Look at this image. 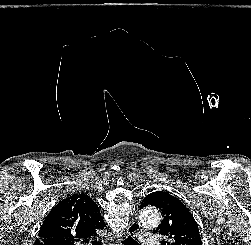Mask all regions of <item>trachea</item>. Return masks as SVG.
Returning a JSON list of instances; mask_svg holds the SVG:
<instances>
[{"label":"trachea","instance_id":"1","mask_svg":"<svg viewBox=\"0 0 251 245\" xmlns=\"http://www.w3.org/2000/svg\"><path fill=\"white\" fill-rule=\"evenodd\" d=\"M123 245H139L132 237L128 236L125 240L122 241ZM92 245H102L100 241H93Z\"/></svg>","mask_w":251,"mask_h":245}]
</instances>
